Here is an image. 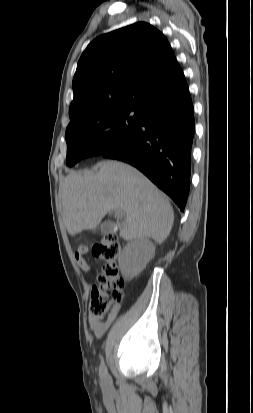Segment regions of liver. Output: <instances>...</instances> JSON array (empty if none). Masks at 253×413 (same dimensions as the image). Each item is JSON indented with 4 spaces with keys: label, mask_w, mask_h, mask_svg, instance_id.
<instances>
[{
    "label": "liver",
    "mask_w": 253,
    "mask_h": 413,
    "mask_svg": "<svg viewBox=\"0 0 253 413\" xmlns=\"http://www.w3.org/2000/svg\"><path fill=\"white\" fill-rule=\"evenodd\" d=\"M62 217L71 236L96 228L110 211L120 210V237L163 243L174 222L167 197L141 172L119 161L99 164L97 172H71L61 189Z\"/></svg>",
    "instance_id": "obj_1"
}]
</instances>
